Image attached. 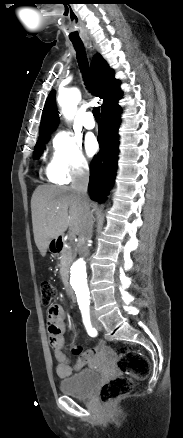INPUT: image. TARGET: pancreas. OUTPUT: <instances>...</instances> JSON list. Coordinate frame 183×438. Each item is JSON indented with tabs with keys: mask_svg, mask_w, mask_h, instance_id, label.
Listing matches in <instances>:
<instances>
[{
	"mask_svg": "<svg viewBox=\"0 0 183 438\" xmlns=\"http://www.w3.org/2000/svg\"><path fill=\"white\" fill-rule=\"evenodd\" d=\"M74 255H75V251L71 247L64 248L61 251L60 268L62 273L66 271V269H68V267L73 261Z\"/></svg>",
	"mask_w": 183,
	"mask_h": 438,
	"instance_id": "obj_1",
	"label": "pancreas"
}]
</instances>
